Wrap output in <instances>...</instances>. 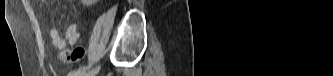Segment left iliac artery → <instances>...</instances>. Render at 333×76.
Listing matches in <instances>:
<instances>
[{
	"instance_id": "left-iliac-artery-1",
	"label": "left iliac artery",
	"mask_w": 333,
	"mask_h": 76,
	"mask_svg": "<svg viewBox=\"0 0 333 76\" xmlns=\"http://www.w3.org/2000/svg\"><path fill=\"white\" fill-rule=\"evenodd\" d=\"M90 67L89 66H83L82 68H79L77 71H73L71 72V76H80L82 73L85 72V70H87L88 68Z\"/></svg>"
}]
</instances>
